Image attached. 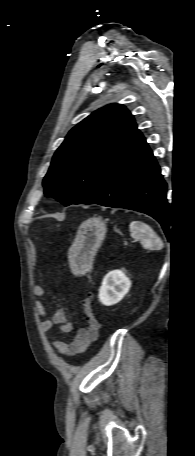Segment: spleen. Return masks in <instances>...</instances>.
Instances as JSON below:
<instances>
[{"instance_id":"3e777b00","label":"spleen","mask_w":195,"mask_h":456,"mask_svg":"<svg viewBox=\"0 0 195 456\" xmlns=\"http://www.w3.org/2000/svg\"><path fill=\"white\" fill-rule=\"evenodd\" d=\"M131 236L139 239L147 249H161L162 240L157 236L153 229L141 221H133L129 225Z\"/></svg>"}]
</instances>
